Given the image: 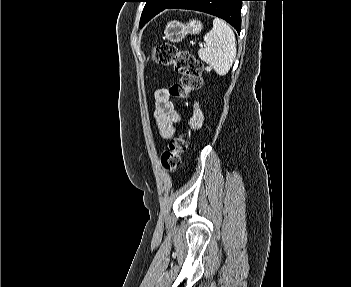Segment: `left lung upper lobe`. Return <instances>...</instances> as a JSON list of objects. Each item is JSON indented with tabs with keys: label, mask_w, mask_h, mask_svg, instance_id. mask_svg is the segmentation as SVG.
Masks as SVG:
<instances>
[{
	"label": "left lung upper lobe",
	"mask_w": 351,
	"mask_h": 287,
	"mask_svg": "<svg viewBox=\"0 0 351 287\" xmlns=\"http://www.w3.org/2000/svg\"><path fill=\"white\" fill-rule=\"evenodd\" d=\"M146 5L142 12L140 27L151 20L158 13L166 9L174 0H144Z\"/></svg>",
	"instance_id": "1"
}]
</instances>
